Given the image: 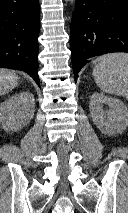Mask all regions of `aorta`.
Masks as SVG:
<instances>
[{
    "label": "aorta",
    "mask_w": 128,
    "mask_h": 213,
    "mask_svg": "<svg viewBox=\"0 0 128 213\" xmlns=\"http://www.w3.org/2000/svg\"><path fill=\"white\" fill-rule=\"evenodd\" d=\"M69 2L71 3V5L74 7L75 6V2L76 0H69Z\"/></svg>",
    "instance_id": "762f6f07"
}]
</instances>
